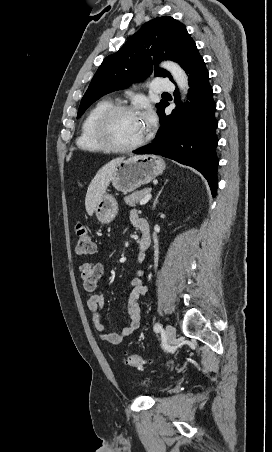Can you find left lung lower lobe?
Returning <instances> with one entry per match:
<instances>
[{
	"label": "left lung lower lobe",
	"instance_id": "0a47b994",
	"mask_svg": "<svg viewBox=\"0 0 272 452\" xmlns=\"http://www.w3.org/2000/svg\"><path fill=\"white\" fill-rule=\"evenodd\" d=\"M182 68L188 74L189 101L180 106L179 99H175L177 107L168 116L164 113L168 105L165 103L159 112L161 128L156 139L134 153L162 155L197 169L207 179L215 197L219 162L216 156V104L208 71L196 45L190 49Z\"/></svg>",
	"mask_w": 272,
	"mask_h": 452
}]
</instances>
